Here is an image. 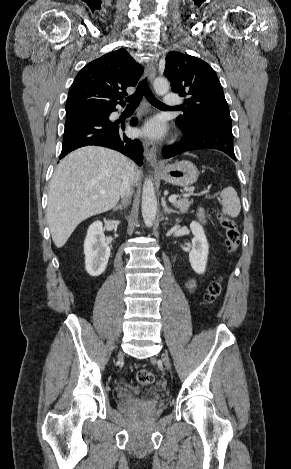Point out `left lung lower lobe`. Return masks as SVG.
<instances>
[{
    "instance_id": "left-lung-lower-lobe-1",
    "label": "left lung lower lobe",
    "mask_w": 291,
    "mask_h": 469,
    "mask_svg": "<svg viewBox=\"0 0 291 469\" xmlns=\"http://www.w3.org/2000/svg\"><path fill=\"white\" fill-rule=\"evenodd\" d=\"M182 131L184 135L180 142L163 148L162 154L165 158L190 150L212 148L218 149L236 160L231 128L209 125Z\"/></svg>"
}]
</instances>
